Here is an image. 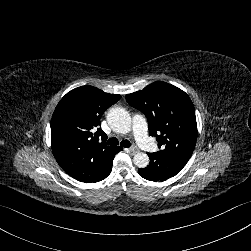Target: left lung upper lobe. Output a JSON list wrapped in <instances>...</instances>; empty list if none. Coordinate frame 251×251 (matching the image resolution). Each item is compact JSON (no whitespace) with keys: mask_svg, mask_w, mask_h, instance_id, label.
I'll return each mask as SVG.
<instances>
[{"mask_svg":"<svg viewBox=\"0 0 251 251\" xmlns=\"http://www.w3.org/2000/svg\"><path fill=\"white\" fill-rule=\"evenodd\" d=\"M126 101L147 117L149 134L161 148L158 152L188 162L196 145L197 123L194 105L184 91L157 81L127 94Z\"/></svg>","mask_w":251,"mask_h":251,"instance_id":"obj_1","label":"left lung upper lobe"}]
</instances>
